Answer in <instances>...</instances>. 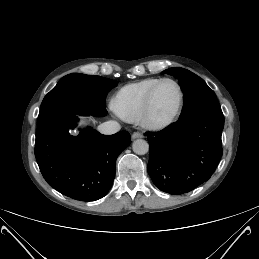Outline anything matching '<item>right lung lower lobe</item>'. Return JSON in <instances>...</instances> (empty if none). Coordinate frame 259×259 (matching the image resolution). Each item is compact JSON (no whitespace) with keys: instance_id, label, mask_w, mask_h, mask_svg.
Here are the masks:
<instances>
[{"instance_id":"1","label":"right lung lower lobe","mask_w":259,"mask_h":259,"mask_svg":"<svg viewBox=\"0 0 259 259\" xmlns=\"http://www.w3.org/2000/svg\"><path fill=\"white\" fill-rule=\"evenodd\" d=\"M77 115L61 112L38 122L35 156L53 188L75 200L95 201L111 188L116 159L130 144V134L102 135L88 128L72 136L69 129L76 126Z\"/></svg>"}]
</instances>
